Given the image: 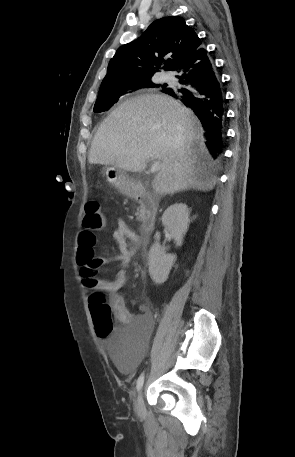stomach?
<instances>
[{
    "mask_svg": "<svg viewBox=\"0 0 295 457\" xmlns=\"http://www.w3.org/2000/svg\"><path fill=\"white\" fill-rule=\"evenodd\" d=\"M106 181L118 189L123 194L133 193V182L129 179L126 172L116 167H107L104 170Z\"/></svg>",
    "mask_w": 295,
    "mask_h": 457,
    "instance_id": "obj_1",
    "label": "stomach"
}]
</instances>
